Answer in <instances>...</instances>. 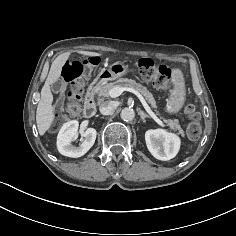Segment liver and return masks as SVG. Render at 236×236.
<instances>
[{
  "label": "liver",
  "instance_id": "obj_1",
  "mask_svg": "<svg viewBox=\"0 0 236 236\" xmlns=\"http://www.w3.org/2000/svg\"><path fill=\"white\" fill-rule=\"evenodd\" d=\"M78 53L90 57L101 56V54L97 52L78 51ZM69 56L70 52L62 53L52 62L49 74L41 90V98L36 111V123L40 135H44L54 120L55 114L52 106L53 95L50 90V85L59 79L62 67L69 59Z\"/></svg>",
  "mask_w": 236,
  "mask_h": 236
}]
</instances>
